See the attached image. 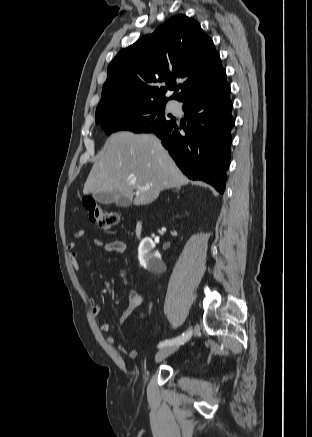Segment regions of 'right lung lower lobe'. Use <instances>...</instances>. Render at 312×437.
I'll list each match as a JSON object with an SVG mask.
<instances>
[{"label":"right lung lower lobe","instance_id":"right-lung-lower-lobe-1","mask_svg":"<svg viewBox=\"0 0 312 437\" xmlns=\"http://www.w3.org/2000/svg\"><path fill=\"white\" fill-rule=\"evenodd\" d=\"M226 73L212 85L182 102L190 126L179 122L155 132L181 171L192 180H203L223 193L230 164L232 102ZM183 130L185 133H180Z\"/></svg>","mask_w":312,"mask_h":437}]
</instances>
